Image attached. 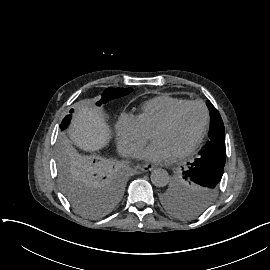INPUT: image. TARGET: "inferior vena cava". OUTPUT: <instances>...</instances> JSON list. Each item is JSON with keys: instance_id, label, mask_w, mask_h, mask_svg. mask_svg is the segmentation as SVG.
Wrapping results in <instances>:
<instances>
[{"instance_id": "inferior-vena-cava-1", "label": "inferior vena cava", "mask_w": 270, "mask_h": 270, "mask_svg": "<svg viewBox=\"0 0 270 270\" xmlns=\"http://www.w3.org/2000/svg\"><path fill=\"white\" fill-rule=\"evenodd\" d=\"M117 149L120 155L122 156H130L132 155V151L129 146L125 145L124 143L118 142Z\"/></svg>"}]
</instances>
